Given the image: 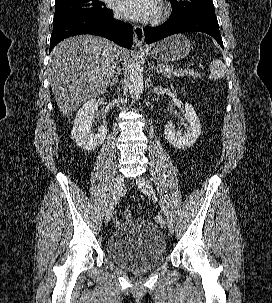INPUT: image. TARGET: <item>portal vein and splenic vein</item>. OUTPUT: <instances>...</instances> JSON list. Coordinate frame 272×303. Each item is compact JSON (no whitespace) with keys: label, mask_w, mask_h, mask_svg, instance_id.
<instances>
[{"label":"portal vein and splenic vein","mask_w":272,"mask_h":303,"mask_svg":"<svg viewBox=\"0 0 272 303\" xmlns=\"http://www.w3.org/2000/svg\"><path fill=\"white\" fill-rule=\"evenodd\" d=\"M158 73H162L163 72V69L162 68H157V70H156Z\"/></svg>","instance_id":"18ae733b"}]
</instances>
